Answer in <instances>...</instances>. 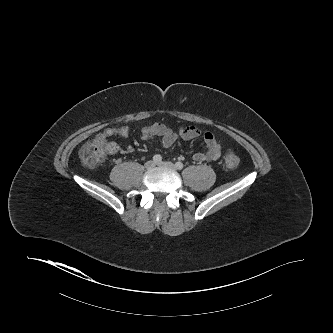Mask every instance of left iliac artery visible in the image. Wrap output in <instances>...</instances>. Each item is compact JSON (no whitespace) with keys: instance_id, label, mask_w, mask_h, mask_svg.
<instances>
[{"instance_id":"left-iliac-artery-1","label":"left iliac artery","mask_w":333,"mask_h":333,"mask_svg":"<svg viewBox=\"0 0 333 333\" xmlns=\"http://www.w3.org/2000/svg\"><path fill=\"white\" fill-rule=\"evenodd\" d=\"M183 163L182 162H176L175 163V167H176V169H178V170H181L182 168H183Z\"/></svg>"}]
</instances>
